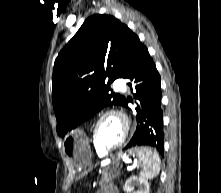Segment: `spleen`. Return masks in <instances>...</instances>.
<instances>
[{
	"mask_svg": "<svg viewBox=\"0 0 221 193\" xmlns=\"http://www.w3.org/2000/svg\"><path fill=\"white\" fill-rule=\"evenodd\" d=\"M138 163L141 166L140 176L143 179H153L160 171V158L156 151H152L151 146H134Z\"/></svg>",
	"mask_w": 221,
	"mask_h": 193,
	"instance_id": "1",
	"label": "spleen"
}]
</instances>
